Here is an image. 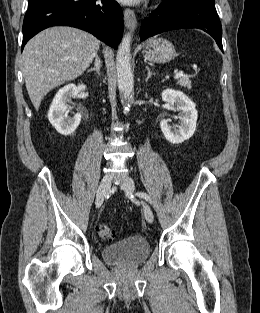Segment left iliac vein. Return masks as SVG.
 Listing matches in <instances>:
<instances>
[{
	"label": "left iliac vein",
	"mask_w": 260,
	"mask_h": 313,
	"mask_svg": "<svg viewBox=\"0 0 260 313\" xmlns=\"http://www.w3.org/2000/svg\"><path fill=\"white\" fill-rule=\"evenodd\" d=\"M121 188L127 195H131L135 189L133 180L129 177H126L121 183ZM142 206H143V212H144V216L146 220L149 223H152L154 220L152 209L146 202H142Z\"/></svg>",
	"instance_id": "4c4485c4"
}]
</instances>
